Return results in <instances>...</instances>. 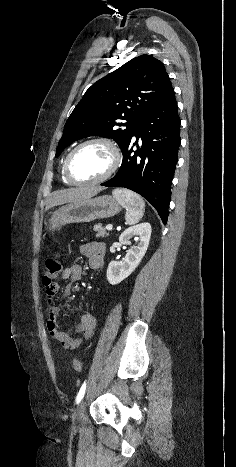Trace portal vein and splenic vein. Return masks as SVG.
<instances>
[{
  "label": "portal vein and splenic vein",
  "mask_w": 236,
  "mask_h": 467,
  "mask_svg": "<svg viewBox=\"0 0 236 467\" xmlns=\"http://www.w3.org/2000/svg\"><path fill=\"white\" fill-rule=\"evenodd\" d=\"M106 229H107V230H112V225H111V224H108V225L106 226Z\"/></svg>",
  "instance_id": "1"
}]
</instances>
